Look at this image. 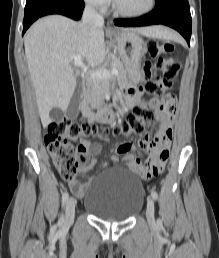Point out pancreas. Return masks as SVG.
<instances>
[{
  "label": "pancreas",
  "instance_id": "pancreas-1",
  "mask_svg": "<svg viewBox=\"0 0 219 258\" xmlns=\"http://www.w3.org/2000/svg\"><path fill=\"white\" fill-rule=\"evenodd\" d=\"M112 68H116L118 70V74L116 75L117 81L121 85L128 84L127 78V69L125 65L118 61L114 60L111 63ZM110 92V82L108 79H98L95 78L88 86L85 93V105L92 109L100 108L103 103L106 95Z\"/></svg>",
  "mask_w": 219,
  "mask_h": 258
}]
</instances>
